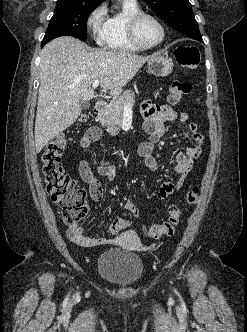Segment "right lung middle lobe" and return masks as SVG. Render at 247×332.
<instances>
[{"instance_id":"right-lung-middle-lobe-1","label":"right lung middle lobe","mask_w":247,"mask_h":332,"mask_svg":"<svg viewBox=\"0 0 247 332\" xmlns=\"http://www.w3.org/2000/svg\"><path fill=\"white\" fill-rule=\"evenodd\" d=\"M101 2L90 0H57L46 32H65L86 41V24L91 12Z\"/></svg>"}]
</instances>
